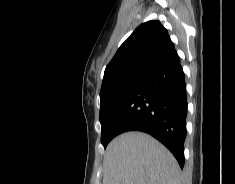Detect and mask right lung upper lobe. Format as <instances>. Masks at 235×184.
<instances>
[{
  "mask_svg": "<svg viewBox=\"0 0 235 184\" xmlns=\"http://www.w3.org/2000/svg\"><path fill=\"white\" fill-rule=\"evenodd\" d=\"M176 53L168 31L159 21L139 26L120 46L107 65L100 97L132 78H144L157 65Z\"/></svg>",
  "mask_w": 235,
  "mask_h": 184,
  "instance_id": "cb5924a9",
  "label": "right lung upper lobe"
}]
</instances>
